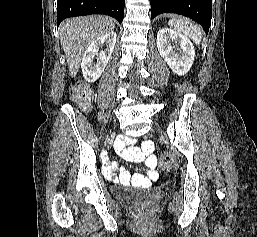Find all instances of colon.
Here are the masks:
<instances>
[{
	"mask_svg": "<svg viewBox=\"0 0 257 237\" xmlns=\"http://www.w3.org/2000/svg\"><path fill=\"white\" fill-rule=\"evenodd\" d=\"M73 97L81 107L86 108L89 105L92 98V92L90 87L86 83H78L73 90ZM160 162L161 169L167 170L173 167L174 158L170 154H162Z\"/></svg>",
	"mask_w": 257,
	"mask_h": 237,
	"instance_id": "obj_1",
	"label": "colon"
}]
</instances>
